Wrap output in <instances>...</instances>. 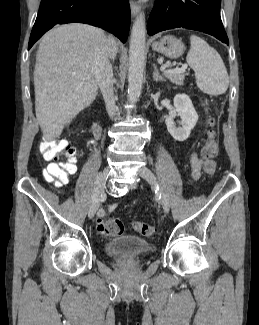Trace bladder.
Listing matches in <instances>:
<instances>
[{"label": "bladder", "instance_id": "1", "mask_svg": "<svg viewBox=\"0 0 259 325\" xmlns=\"http://www.w3.org/2000/svg\"><path fill=\"white\" fill-rule=\"evenodd\" d=\"M151 249L147 241L135 236L115 238L105 245V251L111 258H141Z\"/></svg>", "mask_w": 259, "mask_h": 325}]
</instances>
